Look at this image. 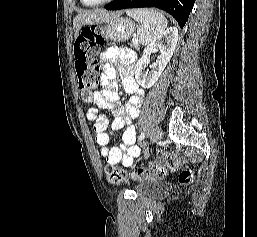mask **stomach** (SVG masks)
I'll list each match as a JSON object with an SVG mask.
<instances>
[{
  "instance_id": "stomach-1",
  "label": "stomach",
  "mask_w": 257,
  "mask_h": 237,
  "mask_svg": "<svg viewBox=\"0 0 257 237\" xmlns=\"http://www.w3.org/2000/svg\"><path fill=\"white\" fill-rule=\"evenodd\" d=\"M134 30L135 25L131 19L115 17L101 27V35L113 42H123L132 37Z\"/></svg>"
}]
</instances>
